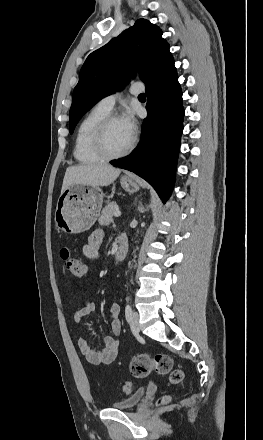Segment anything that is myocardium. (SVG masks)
Returning a JSON list of instances; mask_svg holds the SVG:
<instances>
[{"label": "myocardium", "instance_id": "obj_1", "mask_svg": "<svg viewBox=\"0 0 263 440\" xmlns=\"http://www.w3.org/2000/svg\"><path fill=\"white\" fill-rule=\"evenodd\" d=\"M120 120V117L116 114L109 113L103 117L96 125L92 135V146L94 151L104 160H113L126 156L135 145V138L132 137L129 144L120 152L113 153L109 151L106 145L105 135L108 126L116 121Z\"/></svg>", "mask_w": 263, "mask_h": 440}]
</instances>
